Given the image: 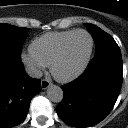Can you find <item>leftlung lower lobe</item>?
<instances>
[{
  "label": "left lung lower lobe",
  "mask_w": 128,
  "mask_h": 128,
  "mask_svg": "<svg viewBox=\"0 0 128 128\" xmlns=\"http://www.w3.org/2000/svg\"><path fill=\"white\" fill-rule=\"evenodd\" d=\"M122 80L123 67L119 48L95 54L78 79L62 86L64 97L56 107L58 116L73 127L96 125L115 105Z\"/></svg>",
  "instance_id": "obj_1"
}]
</instances>
